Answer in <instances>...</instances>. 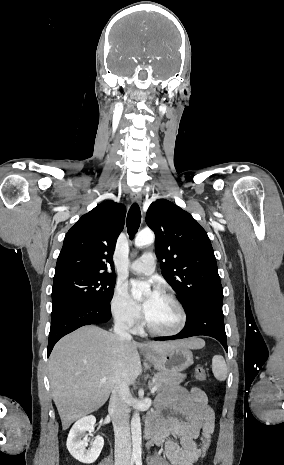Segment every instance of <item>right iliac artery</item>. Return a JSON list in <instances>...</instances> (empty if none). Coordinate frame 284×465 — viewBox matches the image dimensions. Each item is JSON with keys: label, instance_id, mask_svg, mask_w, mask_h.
Wrapping results in <instances>:
<instances>
[{"label": "right iliac artery", "instance_id": "82829eb1", "mask_svg": "<svg viewBox=\"0 0 284 465\" xmlns=\"http://www.w3.org/2000/svg\"><path fill=\"white\" fill-rule=\"evenodd\" d=\"M134 462H135V460H134V459H132V460H131V462H130V465H133V464H134Z\"/></svg>", "mask_w": 284, "mask_h": 465}]
</instances>
